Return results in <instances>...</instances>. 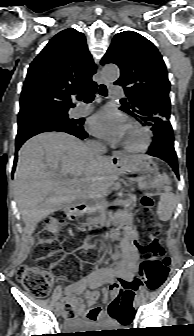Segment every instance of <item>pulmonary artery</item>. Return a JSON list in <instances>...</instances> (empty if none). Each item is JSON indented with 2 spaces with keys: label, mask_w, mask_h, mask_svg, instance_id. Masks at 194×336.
Returning <instances> with one entry per match:
<instances>
[{
  "label": "pulmonary artery",
  "mask_w": 194,
  "mask_h": 336,
  "mask_svg": "<svg viewBox=\"0 0 194 336\" xmlns=\"http://www.w3.org/2000/svg\"><path fill=\"white\" fill-rule=\"evenodd\" d=\"M123 96H124V91L121 87L112 88L111 97L120 98V97H123ZM91 110H92V106H90V105L80 106V107L75 109V115H77V116L85 115V114H88L89 112H91Z\"/></svg>",
  "instance_id": "1"
}]
</instances>
